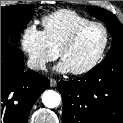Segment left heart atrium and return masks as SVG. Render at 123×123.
I'll return each instance as SVG.
<instances>
[{
  "mask_svg": "<svg viewBox=\"0 0 123 123\" xmlns=\"http://www.w3.org/2000/svg\"><path fill=\"white\" fill-rule=\"evenodd\" d=\"M56 71L60 72V73H67L70 72L71 69L70 67L67 65V63L63 60H61L58 65L56 66Z\"/></svg>",
  "mask_w": 123,
  "mask_h": 123,
  "instance_id": "obj_1",
  "label": "left heart atrium"
}]
</instances>
